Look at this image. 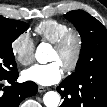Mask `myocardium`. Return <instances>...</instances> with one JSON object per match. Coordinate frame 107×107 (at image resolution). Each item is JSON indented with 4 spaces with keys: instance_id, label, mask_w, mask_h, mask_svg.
<instances>
[{
    "instance_id": "myocardium-1",
    "label": "myocardium",
    "mask_w": 107,
    "mask_h": 107,
    "mask_svg": "<svg viewBox=\"0 0 107 107\" xmlns=\"http://www.w3.org/2000/svg\"><path fill=\"white\" fill-rule=\"evenodd\" d=\"M70 43L74 44V51L71 60L63 65L67 73H71L78 67L83 52V38L80 32L74 29L66 31L54 44L53 48L58 52L64 51Z\"/></svg>"
}]
</instances>
